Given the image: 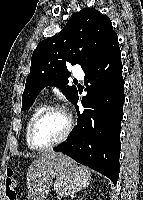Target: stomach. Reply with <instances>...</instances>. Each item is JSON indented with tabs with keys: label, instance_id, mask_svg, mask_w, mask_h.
Wrapping results in <instances>:
<instances>
[{
	"label": "stomach",
	"instance_id": "stomach-1",
	"mask_svg": "<svg viewBox=\"0 0 143 200\" xmlns=\"http://www.w3.org/2000/svg\"><path fill=\"white\" fill-rule=\"evenodd\" d=\"M91 175L86 167L76 164L63 167L55 175L54 191L59 197L68 196L86 188Z\"/></svg>",
	"mask_w": 143,
	"mask_h": 200
}]
</instances>
